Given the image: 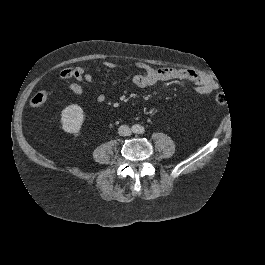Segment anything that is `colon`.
<instances>
[{
    "mask_svg": "<svg viewBox=\"0 0 265 265\" xmlns=\"http://www.w3.org/2000/svg\"><path fill=\"white\" fill-rule=\"evenodd\" d=\"M74 75H75L74 68L65 69L60 73V77L62 79H69L72 78ZM46 101H47V93L45 91H39L31 98L30 103L33 107H41L45 104ZM216 101L219 104H224L226 102L225 94L218 93L216 95Z\"/></svg>",
    "mask_w": 265,
    "mask_h": 265,
    "instance_id": "colon-1",
    "label": "colon"
}]
</instances>
